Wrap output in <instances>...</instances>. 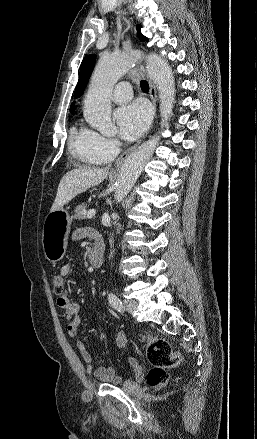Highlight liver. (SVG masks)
I'll return each mask as SVG.
<instances>
[{
	"label": "liver",
	"instance_id": "liver-1",
	"mask_svg": "<svg viewBox=\"0 0 257 439\" xmlns=\"http://www.w3.org/2000/svg\"><path fill=\"white\" fill-rule=\"evenodd\" d=\"M108 175L106 168H78L68 171L61 179L51 211L63 208L77 195L100 184Z\"/></svg>",
	"mask_w": 257,
	"mask_h": 439
}]
</instances>
